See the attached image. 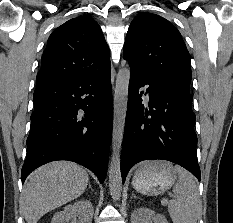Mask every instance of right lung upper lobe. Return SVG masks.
Listing matches in <instances>:
<instances>
[{"mask_svg":"<svg viewBox=\"0 0 233 223\" xmlns=\"http://www.w3.org/2000/svg\"><path fill=\"white\" fill-rule=\"evenodd\" d=\"M109 67V48L100 26L90 17L79 16L51 33L36 87L94 75Z\"/></svg>","mask_w":233,"mask_h":223,"instance_id":"1","label":"right lung upper lobe"}]
</instances>
